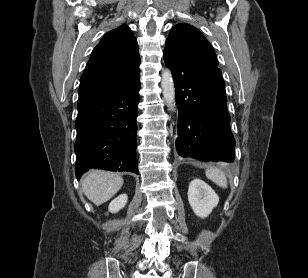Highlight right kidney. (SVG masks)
Masks as SVG:
<instances>
[{
  "label": "right kidney",
  "instance_id": "1",
  "mask_svg": "<svg viewBox=\"0 0 308 278\" xmlns=\"http://www.w3.org/2000/svg\"><path fill=\"white\" fill-rule=\"evenodd\" d=\"M127 200L128 197L126 194L119 195L117 198L110 202L108 210L111 213H117L120 209L125 207Z\"/></svg>",
  "mask_w": 308,
  "mask_h": 278
}]
</instances>
